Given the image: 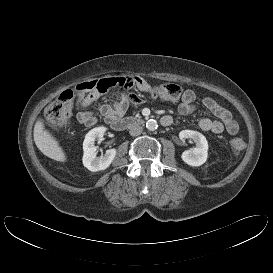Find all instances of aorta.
I'll use <instances>...</instances> for the list:
<instances>
[{"label": "aorta", "instance_id": "762f6f07", "mask_svg": "<svg viewBox=\"0 0 273 273\" xmlns=\"http://www.w3.org/2000/svg\"><path fill=\"white\" fill-rule=\"evenodd\" d=\"M158 127V124H157V121L154 120V119H150L146 122V128L149 130V131H154L156 130Z\"/></svg>", "mask_w": 273, "mask_h": 273}]
</instances>
